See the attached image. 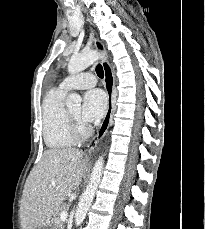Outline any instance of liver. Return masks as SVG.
Masks as SVG:
<instances>
[{
  "label": "liver",
  "mask_w": 205,
  "mask_h": 229,
  "mask_svg": "<svg viewBox=\"0 0 205 229\" xmlns=\"http://www.w3.org/2000/svg\"><path fill=\"white\" fill-rule=\"evenodd\" d=\"M87 158L76 148L49 149L32 168L22 194V229H41L84 178Z\"/></svg>",
  "instance_id": "1"
}]
</instances>
